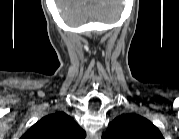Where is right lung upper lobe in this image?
<instances>
[{"label":"right lung upper lobe","mask_w":179,"mask_h":139,"mask_svg":"<svg viewBox=\"0 0 179 139\" xmlns=\"http://www.w3.org/2000/svg\"><path fill=\"white\" fill-rule=\"evenodd\" d=\"M82 130L73 118L64 112H56L43 117L24 135L23 139H83Z\"/></svg>","instance_id":"obj_1"}]
</instances>
